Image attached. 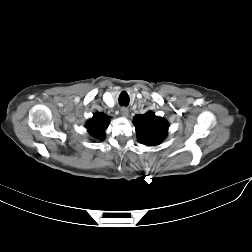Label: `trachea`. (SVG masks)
<instances>
[{
    "mask_svg": "<svg viewBox=\"0 0 252 252\" xmlns=\"http://www.w3.org/2000/svg\"><path fill=\"white\" fill-rule=\"evenodd\" d=\"M119 103L122 106H127L129 104V96L127 94H125V93H122L119 96Z\"/></svg>",
    "mask_w": 252,
    "mask_h": 252,
    "instance_id": "obj_1",
    "label": "trachea"
}]
</instances>
